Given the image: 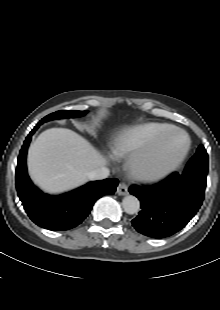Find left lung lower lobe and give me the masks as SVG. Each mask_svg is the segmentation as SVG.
Masks as SVG:
<instances>
[{
	"label": "left lung lower lobe",
	"instance_id": "1",
	"mask_svg": "<svg viewBox=\"0 0 220 310\" xmlns=\"http://www.w3.org/2000/svg\"><path fill=\"white\" fill-rule=\"evenodd\" d=\"M206 176L174 172L157 185L130 187L142 209L132 220L133 227L152 238H165L184 228L202 205Z\"/></svg>",
	"mask_w": 220,
	"mask_h": 310
}]
</instances>
